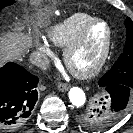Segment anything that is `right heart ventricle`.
I'll return each mask as SVG.
<instances>
[{
  "label": "right heart ventricle",
  "instance_id": "e07e8e85",
  "mask_svg": "<svg viewBox=\"0 0 133 133\" xmlns=\"http://www.w3.org/2000/svg\"><path fill=\"white\" fill-rule=\"evenodd\" d=\"M95 18L94 16L76 12L54 24L47 32L49 41L57 47H65L72 41L86 23Z\"/></svg>",
  "mask_w": 133,
  "mask_h": 133
}]
</instances>
